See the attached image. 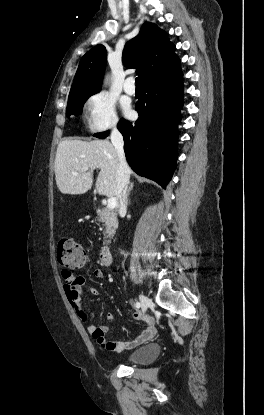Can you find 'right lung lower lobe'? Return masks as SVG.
<instances>
[{"label": "right lung lower lobe", "mask_w": 264, "mask_h": 415, "mask_svg": "<svg viewBox=\"0 0 264 415\" xmlns=\"http://www.w3.org/2000/svg\"><path fill=\"white\" fill-rule=\"evenodd\" d=\"M183 73L143 84L135 110L136 122L121 119L118 129L131 168L165 187L171 180L177 159V124L183 106ZM109 131L94 134L104 139Z\"/></svg>", "instance_id": "98d812e1"}]
</instances>
